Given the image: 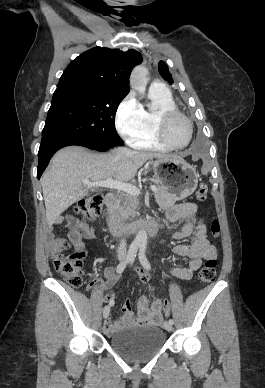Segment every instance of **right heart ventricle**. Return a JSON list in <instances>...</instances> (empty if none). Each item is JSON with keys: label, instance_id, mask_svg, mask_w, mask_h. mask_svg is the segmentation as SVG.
Listing matches in <instances>:
<instances>
[{"label": "right heart ventricle", "instance_id": "e07e8e85", "mask_svg": "<svg viewBox=\"0 0 265 388\" xmlns=\"http://www.w3.org/2000/svg\"><path fill=\"white\" fill-rule=\"evenodd\" d=\"M147 98L150 99L151 107L144 110V128L133 140V145L139 149L166 151L168 148L160 142L155 129L156 114L159 110L167 107L176 108L174 100L169 91H147Z\"/></svg>", "mask_w": 265, "mask_h": 388}]
</instances>
